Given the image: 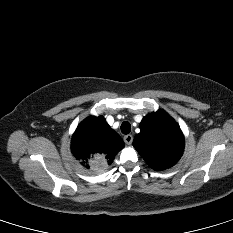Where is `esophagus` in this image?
Wrapping results in <instances>:
<instances>
[{
    "instance_id": "34e87169",
    "label": "esophagus",
    "mask_w": 233,
    "mask_h": 233,
    "mask_svg": "<svg viewBox=\"0 0 233 233\" xmlns=\"http://www.w3.org/2000/svg\"><path fill=\"white\" fill-rule=\"evenodd\" d=\"M132 141H133V136L128 134V135H125L124 136V142L127 144V145H131L132 144Z\"/></svg>"
}]
</instances>
